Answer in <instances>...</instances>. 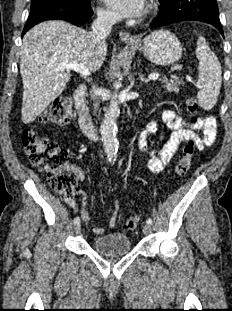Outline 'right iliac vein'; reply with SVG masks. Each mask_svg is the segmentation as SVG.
Returning <instances> with one entry per match:
<instances>
[{
	"label": "right iliac vein",
	"mask_w": 232,
	"mask_h": 311,
	"mask_svg": "<svg viewBox=\"0 0 232 311\" xmlns=\"http://www.w3.org/2000/svg\"><path fill=\"white\" fill-rule=\"evenodd\" d=\"M74 230L76 234L80 233V230H81L80 224H76Z\"/></svg>",
	"instance_id": "obj_1"
}]
</instances>
